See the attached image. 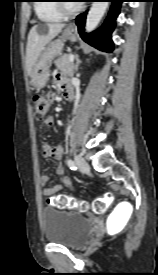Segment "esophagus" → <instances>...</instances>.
I'll return each mask as SVG.
<instances>
[{"label":"esophagus","mask_w":158,"mask_h":275,"mask_svg":"<svg viewBox=\"0 0 158 275\" xmlns=\"http://www.w3.org/2000/svg\"><path fill=\"white\" fill-rule=\"evenodd\" d=\"M69 29L73 30V31H76L77 30V27L74 23L70 24L69 25Z\"/></svg>","instance_id":"esophagus-1"}]
</instances>
